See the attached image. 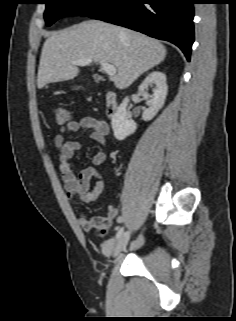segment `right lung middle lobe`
Instances as JSON below:
<instances>
[{"instance_id":"right-lung-middle-lobe-1","label":"right lung middle lobe","mask_w":236,"mask_h":321,"mask_svg":"<svg viewBox=\"0 0 236 321\" xmlns=\"http://www.w3.org/2000/svg\"><path fill=\"white\" fill-rule=\"evenodd\" d=\"M111 0H45L44 13L47 26L66 16H89L107 5Z\"/></svg>"}]
</instances>
